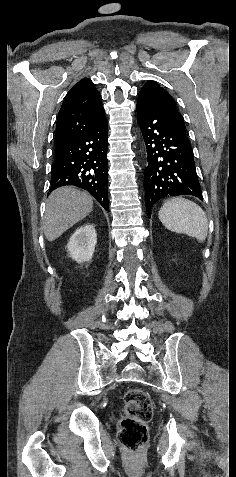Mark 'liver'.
Instances as JSON below:
<instances>
[{
    "instance_id": "1",
    "label": "liver",
    "mask_w": 236,
    "mask_h": 477,
    "mask_svg": "<svg viewBox=\"0 0 236 477\" xmlns=\"http://www.w3.org/2000/svg\"><path fill=\"white\" fill-rule=\"evenodd\" d=\"M93 209V199L87 193L66 186L54 190L48 197L43 220L44 235L54 241Z\"/></svg>"
}]
</instances>
